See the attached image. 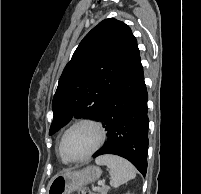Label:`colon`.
I'll use <instances>...</instances> for the list:
<instances>
[{
	"mask_svg": "<svg viewBox=\"0 0 201 194\" xmlns=\"http://www.w3.org/2000/svg\"><path fill=\"white\" fill-rule=\"evenodd\" d=\"M77 194H93L88 188H81Z\"/></svg>",
	"mask_w": 201,
	"mask_h": 194,
	"instance_id": "obj_1",
	"label": "colon"
}]
</instances>
